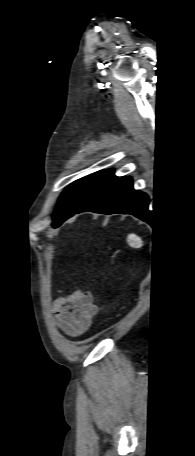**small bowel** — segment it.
Instances as JSON below:
<instances>
[{"instance_id": "1", "label": "small bowel", "mask_w": 195, "mask_h": 456, "mask_svg": "<svg viewBox=\"0 0 195 456\" xmlns=\"http://www.w3.org/2000/svg\"><path fill=\"white\" fill-rule=\"evenodd\" d=\"M97 306L88 291L77 290L53 302L51 314L58 328L66 335L76 337L91 326Z\"/></svg>"}]
</instances>
